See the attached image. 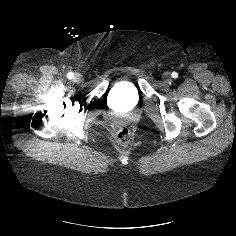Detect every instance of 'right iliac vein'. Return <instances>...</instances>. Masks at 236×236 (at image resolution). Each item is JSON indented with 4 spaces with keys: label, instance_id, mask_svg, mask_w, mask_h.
Returning <instances> with one entry per match:
<instances>
[{
    "label": "right iliac vein",
    "instance_id": "63e3f726",
    "mask_svg": "<svg viewBox=\"0 0 236 236\" xmlns=\"http://www.w3.org/2000/svg\"><path fill=\"white\" fill-rule=\"evenodd\" d=\"M75 79L80 81L81 80V76L80 75H76Z\"/></svg>",
    "mask_w": 236,
    "mask_h": 236
}]
</instances>
